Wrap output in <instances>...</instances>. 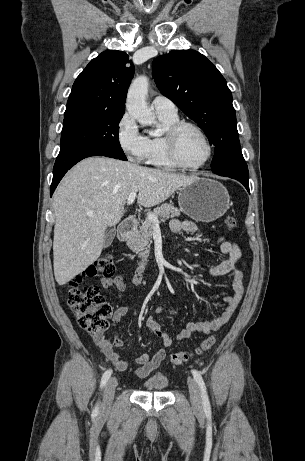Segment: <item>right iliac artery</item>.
<instances>
[{
  "mask_svg": "<svg viewBox=\"0 0 305 461\" xmlns=\"http://www.w3.org/2000/svg\"><path fill=\"white\" fill-rule=\"evenodd\" d=\"M112 374V370L111 369H108L107 371L104 372L103 376H102V379H101V383H100V387L103 388L105 386V384L107 383V381L109 380L110 376ZM98 405H96L95 409L93 410V414H97L98 413Z\"/></svg>",
  "mask_w": 305,
  "mask_h": 461,
  "instance_id": "1",
  "label": "right iliac artery"
}]
</instances>
